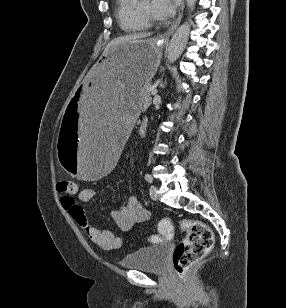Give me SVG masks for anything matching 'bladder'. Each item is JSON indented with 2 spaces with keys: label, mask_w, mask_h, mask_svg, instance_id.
<instances>
[{
  "label": "bladder",
  "mask_w": 286,
  "mask_h": 308,
  "mask_svg": "<svg viewBox=\"0 0 286 308\" xmlns=\"http://www.w3.org/2000/svg\"><path fill=\"white\" fill-rule=\"evenodd\" d=\"M167 253L166 244L139 248L126 255L121 266L126 269L162 273L166 268Z\"/></svg>",
  "instance_id": "31cf9c89"
}]
</instances>
